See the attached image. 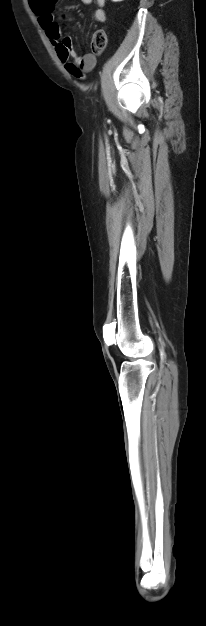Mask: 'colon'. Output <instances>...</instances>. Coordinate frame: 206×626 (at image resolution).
<instances>
[{
  "label": "colon",
  "instance_id": "5ec220e1",
  "mask_svg": "<svg viewBox=\"0 0 206 626\" xmlns=\"http://www.w3.org/2000/svg\"><path fill=\"white\" fill-rule=\"evenodd\" d=\"M107 45V35L102 29L96 30L91 39V48L93 53L101 54Z\"/></svg>",
  "mask_w": 206,
  "mask_h": 626
}]
</instances>
